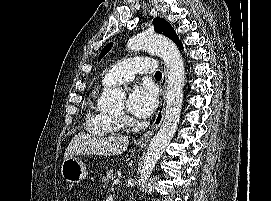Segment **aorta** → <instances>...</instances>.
<instances>
[{"instance_id": "aorta-1", "label": "aorta", "mask_w": 271, "mask_h": 201, "mask_svg": "<svg viewBox=\"0 0 271 201\" xmlns=\"http://www.w3.org/2000/svg\"><path fill=\"white\" fill-rule=\"evenodd\" d=\"M127 48L131 51L147 50L158 54L165 63L167 74L165 117L158 133L147 149L144 164L140 171L139 185L144 187L177 129L182 109L185 71L182 56L177 46L162 35L149 32L140 33L128 41ZM124 99L125 94L120 90H105L99 97L97 105L101 109H109L120 105Z\"/></svg>"}]
</instances>
